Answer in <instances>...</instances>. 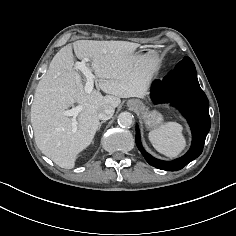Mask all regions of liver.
I'll list each match as a JSON object with an SVG mask.
<instances>
[{"mask_svg": "<svg viewBox=\"0 0 236 236\" xmlns=\"http://www.w3.org/2000/svg\"><path fill=\"white\" fill-rule=\"evenodd\" d=\"M88 59L98 80L99 91L87 93L84 79L74 68L73 50ZM140 44L128 41L78 40L61 48L39 81L31 106V124L40 151L56 165L72 169L76 159L94 139L98 113L104 106L116 108L120 98L144 97L158 66L155 51L138 55ZM77 103L82 110L73 118L63 111Z\"/></svg>", "mask_w": 236, "mask_h": 236, "instance_id": "liver-1", "label": "liver"}]
</instances>
